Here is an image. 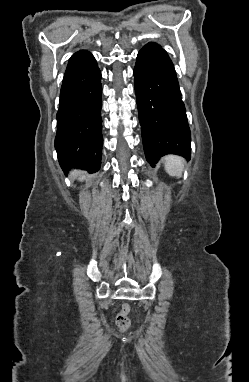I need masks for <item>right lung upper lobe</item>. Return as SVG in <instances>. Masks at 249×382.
Wrapping results in <instances>:
<instances>
[{
  "label": "right lung upper lobe",
  "instance_id": "1",
  "mask_svg": "<svg viewBox=\"0 0 249 382\" xmlns=\"http://www.w3.org/2000/svg\"><path fill=\"white\" fill-rule=\"evenodd\" d=\"M92 57V54L88 51L81 50L76 52L69 60L65 75L70 74L80 66H82L84 63H86L90 58Z\"/></svg>",
  "mask_w": 249,
  "mask_h": 382
}]
</instances>
